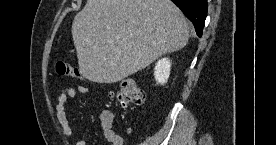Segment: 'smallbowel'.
<instances>
[{"mask_svg":"<svg viewBox=\"0 0 276 145\" xmlns=\"http://www.w3.org/2000/svg\"><path fill=\"white\" fill-rule=\"evenodd\" d=\"M88 92V87L80 85L78 87H65L57 98L55 105L56 117L62 127L64 135L70 136L72 133V125L66 112V103L70 98H75L78 95H83ZM114 118L113 114L105 111L100 116V126L106 140L111 145H123V138L113 129ZM77 145H89L87 140H80Z\"/></svg>","mask_w":276,"mask_h":145,"instance_id":"obj_1","label":"small bowel"}]
</instances>
